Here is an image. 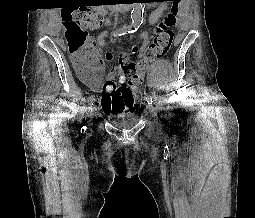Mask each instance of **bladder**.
Segmentation results:
<instances>
[{
    "instance_id": "31cf9c89",
    "label": "bladder",
    "mask_w": 255,
    "mask_h": 218,
    "mask_svg": "<svg viewBox=\"0 0 255 218\" xmlns=\"http://www.w3.org/2000/svg\"><path fill=\"white\" fill-rule=\"evenodd\" d=\"M109 120L119 128H130L136 123L137 115L132 112L114 113Z\"/></svg>"
}]
</instances>
